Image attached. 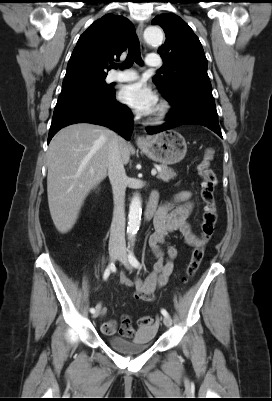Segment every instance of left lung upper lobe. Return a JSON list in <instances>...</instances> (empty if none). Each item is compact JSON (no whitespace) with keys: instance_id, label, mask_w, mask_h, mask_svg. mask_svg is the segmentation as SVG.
Returning <instances> with one entry per match:
<instances>
[{"instance_id":"left-lung-upper-lobe-1","label":"left lung upper lobe","mask_w":272,"mask_h":401,"mask_svg":"<svg viewBox=\"0 0 272 401\" xmlns=\"http://www.w3.org/2000/svg\"><path fill=\"white\" fill-rule=\"evenodd\" d=\"M152 24L160 25L166 34V43L158 49L163 59V75L153 77L165 98L170 99L179 92L212 94L206 56L188 24L173 13L156 16Z\"/></svg>"}]
</instances>
